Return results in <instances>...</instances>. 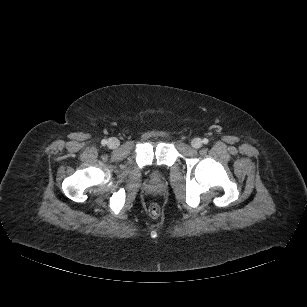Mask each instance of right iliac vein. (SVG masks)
Returning <instances> with one entry per match:
<instances>
[{"instance_id":"right-iliac-vein-1","label":"right iliac vein","mask_w":307,"mask_h":307,"mask_svg":"<svg viewBox=\"0 0 307 307\" xmlns=\"http://www.w3.org/2000/svg\"><path fill=\"white\" fill-rule=\"evenodd\" d=\"M119 145H120V141L117 138H110L108 140V147L111 149H115L119 147Z\"/></svg>"}]
</instances>
